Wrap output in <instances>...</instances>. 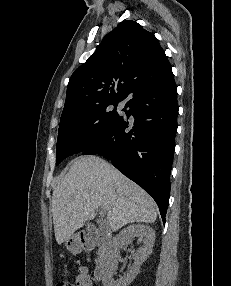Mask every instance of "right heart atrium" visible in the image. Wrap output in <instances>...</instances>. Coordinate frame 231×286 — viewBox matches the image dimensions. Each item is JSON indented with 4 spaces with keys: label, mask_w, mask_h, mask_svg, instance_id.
Wrapping results in <instances>:
<instances>
[{
    "label": "right heart atrium",
    "mask_w": 231,
    "mask_h": 286,
    "mask_svg": "<svg viewBox=\"0 0 231 286\" xmlns=\"http://www.w3.org/2000/svg\"><path fill=\"white\" fill-rule=\"evenodd\" d=\"M85 134L88 138H91L92 137V134H93V130H92V127L91 126H87L85 128Z\"/></svg>",
    "instance_id": "right-heart-atrium-1"
}]
</instances>
